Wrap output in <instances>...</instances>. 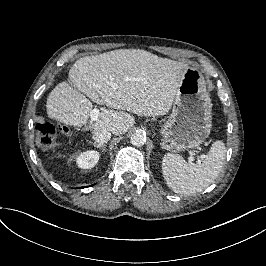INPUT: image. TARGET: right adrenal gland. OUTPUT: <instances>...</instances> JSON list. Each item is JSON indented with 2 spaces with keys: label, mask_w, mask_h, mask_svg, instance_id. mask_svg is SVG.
<instances>
[{
  "label": "right adrenal gland",
  "mask_w": 266,
  "mask_h": 266,
  "mask_svg": "<svg viewBox=\"0 0 266 266\" xmlns=\"http://www.w3.org/2000/svg\"><path fill=\"white\" fill-rule=\"evenodd\" d=\"M89 143L92 144V146H93L94 148H99V149H102V151H105V147H106L105 144H96V143H94L93 141H90Z\"/></svg>",
  "instance_id": "obj_1"
}]
</instances>
